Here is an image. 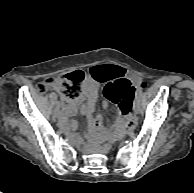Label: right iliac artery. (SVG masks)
<instances>
[{
  "instance_id": "1",
  "label": "right iliac artery",
  "mask_w": 194,
  "mask_h": 193,
  "mask_svg": "<svg viewBox=\"0 0 194 193\" xmlns=\"http://www.w3.org/2000/svg\"><path fill=\"white\" fill-rule=\"evenodd\" d=\"M61 99L63 100V97L61 96ZM61 117H63V112L61 111L59 114Z\"/></svg>"
}]
</instances>
